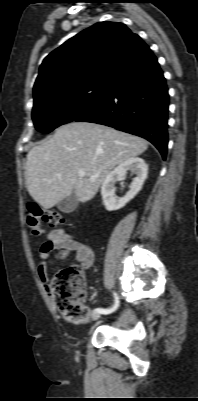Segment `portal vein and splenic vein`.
<instances>
[{
    "mask_svg": "<svg viewBox=\"0 0 198 401\" xmlns=\"http://www.w3.org/2000/svg\"><path fill=\"white\" fill-rule=\"evenodd\" d=\"M78 176L81 177V178L84 177L85 176V172L82 171V170L78 171Z\"/></svg>",
    "mask_w": 198,
    "mask_h": 401,
    "instance_id": "18ae733b",
    "label": "portal vein and splenic vein"
}]
</instances>
